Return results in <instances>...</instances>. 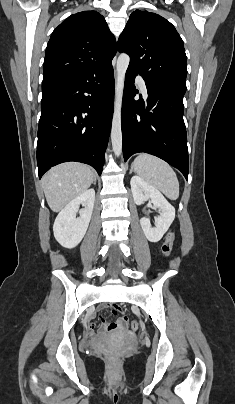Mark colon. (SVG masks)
I'll list each match as a JSON object with an SVG mask.
<instances>
[{
    "mask_svg": "<svg viewBox=\"0 0 235 404\" xmlns=\"http://www.w3.org/2000/svg\"><path fill=\"white\" fill-rule=\"evenodd\" d=\"M174 239H175L174 232L173 231L168 232L165 237V240L163 242L162 248H161L162 253L166 257L170 256V254H171L172 247L174 244ZM109 310L112 314H117V312H118V309H116V308H111ZM106 325H107V328L111 329V330H113L116 327H126V326H128L129 330L133 331V332H135L138 329V323L136 321H132V322L128 323V319L126 317H121V318L117 319L116 321H109L106 323Z\"/></svg>",
    "mask_w": 235,
    "mask_h": 404,
    "instance_id": "5ec220e1",
    "label": "colon"
}]
</instances>
